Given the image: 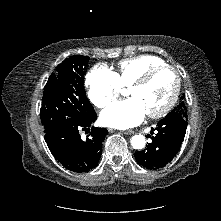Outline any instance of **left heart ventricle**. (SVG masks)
<instances>
[{"mask_svg":"<svg viewBox=\"0 0 221 221\" xmlns=\"http://www.w3.org/2000/svg\"><path fill=\"white\" fill-rule=\"evenodd\" d=\"M175 75L169 70L157 73L145 86L131 88L129 94L143 104L147 113L165 106L175 87Z\"/></svg>","mask_w":221,"mask_h":221,"instance_id":"left-heart-ventricle-1","label":"left heart ventricle"}]
</instances>
